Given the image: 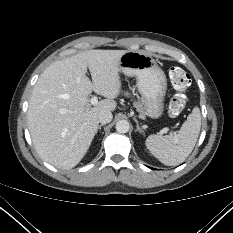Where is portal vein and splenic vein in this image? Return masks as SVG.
<instances>
[{
    "label": "portal vein and splenic vein",
    "mask_w": 233,
    "mask_h": 233,
    "mask_svg": "<svg viewBox=\"0 0 233 233\" xmlns=\"http://www.w3.org/2000/svg\"><path fill=\"white\" fill-rule=\"evenodd\" d=\"M90 103L92 105H96L98 103V98L96 96H93L91 99H90Z\"/></svg>",
    "instance_id": "obj_1"
}]
</instances>
